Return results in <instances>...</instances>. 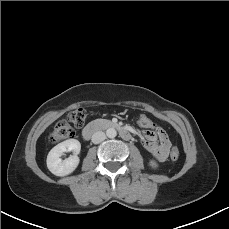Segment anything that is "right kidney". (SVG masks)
Returning <instances> with one entry per match:
<instances>
[{"label": "right kidney", "instance_id": "1", "mask_svg": "<svg viewBox=\"0 0 229 229\" xmlns=\"http://www.w3.org/2000/svg\"><path fill=\"white\" fill-rule=\"evenodd\" d=\"M81 150V144L76 139H68L53 147L47 156V167L51 173L56 176H66L71 174L79 164L78 154ZM72 151L73 155L61 160L63 152Z\"/></svg>", "mask_w": 229, "mask_h": 229}]
</instances>
